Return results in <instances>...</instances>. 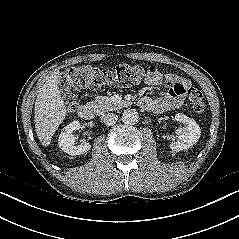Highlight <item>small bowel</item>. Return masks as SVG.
Listing matches in <instances>:
<instances>
[{
  "mask_svg": "<svg viewBox=\"0 0 239 239\" xmlns=\"http://www.w3.org/2000/svg\"><path fill=\"white\" fill-rule=\"evenodd\" d=\"M146 83L152 87L168 85L161 96L157 98L144 97L141 101L145 109L155 113H162L180 106L183 102L185 88L189 85L188 80L179 79L175 75L164 76L155 66L149 67Z\"/></svg>",
  "mask_w": 239,
  "mask_h": 239,
  "instance_id": "c3829d8e",
  "label": "small bowel"
}]
</instances>
